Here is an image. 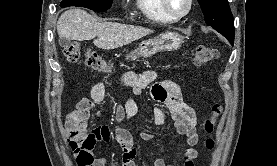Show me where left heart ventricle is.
I'll list each match as a JSON object with an SVG mask.
<instances>
[{
    "mask_svg": "<svg viewBox=\"0 0 277 166\" xmlns=\"http://www.w3.org/2000/svg\"><path fill=\"white\" fill-rule=\"evenodd\" d=\"M170 8L176 13H182L186 10L187 0H168Z\"/></svg>",
    "mask_w": 277,
    "mask_h": 166,
    "instance_id": "b2bd125f",
    "label": "left heart ventricle"
}]
</instances>
